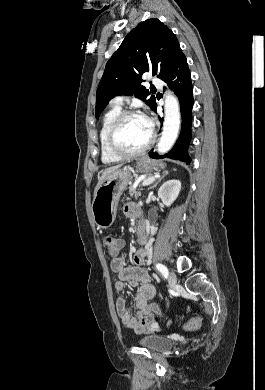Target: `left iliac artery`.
<instances>
[{
  "label": "left iliac artery",
  "mask_w": 265,
  "mask_h": 390,
  "mask_svg": "<svg viewBox=\"0 0 265 390\" xmlns=\"http://www.w3.org/2000/svg\"><path fill=\"white\" fill-rule=\"evenodd\" d=\"M156 268L161 272V274L167 278L168 277V269L163 264L157 263Z\"/></svg>",
  "instance_id": "1"
}]
</instances>
